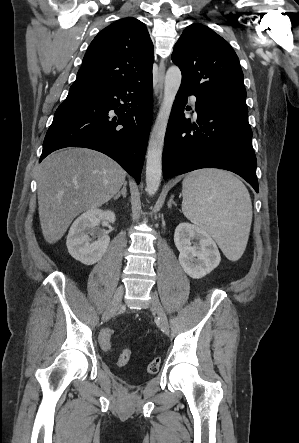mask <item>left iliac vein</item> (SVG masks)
<instances>
[{"label":"left iliac vein","instance_id":"4c4485c4","mask_svg":"<svg viewBox=\"0 0 299 443\" xmlns=\"http://www.w3.org/2000/svg\"><path fill=\"white\" fill-rule=\"evenodd\" d=\"M150 308L158 316L162 331L168 334L169 333L168 319L159 299L156 296H152Z\"/></svg>","mask_w":299,"mask_h":443}]
</instances>
